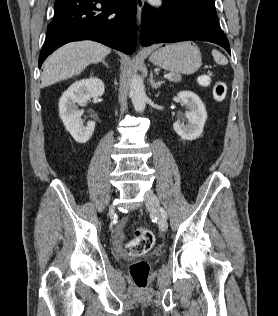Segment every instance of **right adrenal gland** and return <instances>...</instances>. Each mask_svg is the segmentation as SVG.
<instances>
[{
    "label": "right adrenal gland",
    "instance_id": "right-adrenal-gland-1",
    "mask_svg": "<svg viewBox=\"0 0 278 316\" xmlns=\"http://www.w3.org/2000/svg\"><path fill=\"white\" fill-rule=\"evenodd\" d=\"M101 63H103L107 68L109 67L105 60H102Z\"/></svg>",
    "mask_w": 278,
    "mask_h": 316
}]
</instances>
